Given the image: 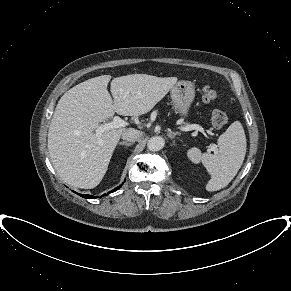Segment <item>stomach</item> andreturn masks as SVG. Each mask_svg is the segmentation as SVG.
Returning a JSON list of instances; mask_svg holds the SVG:
<instances>
[{
  "instance_id": "stomach-1",
  "label": "stomach",
  "mask_w": 291,
  "mask_h": 291,
  "mask_svg": "<svg viewBox=\"0 0 291 291\" xmlns=\"http://www.w3.org/2000/svg\"><path fill=\"white\" fill-rule=\"evenodd\" d=\"M171 99L177 112L184 118L189 114L195 97V88L190 81H179L171 88Z\"/></svg>"
}]
</instances>
